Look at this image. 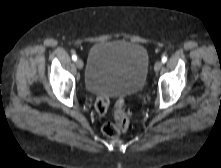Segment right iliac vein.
<instances>
[{"label":"right iliac vein","mask_w":221,"mask_h":168,"mask_svg":"<svg viewBox=\"0 0 221 168\" xmlns=\"http://www.w3.org/2000/svg\"><path fill=\"white\" fill-rule=\"evenodd\" d=\"M76 66L78 69H82L84 66V63L81 59L76 60Z\"/></svg>","instance_id":"right-iliac-vein-1"}]
</instances>
